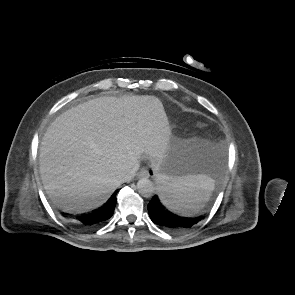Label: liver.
<instances>
[{
	"instance_id": "obj_1",
	"label": "liver",
	"mask_w": 295,
	"mask_h": 295,
	"mask_svg": "<svg viewBox=\"0 0 295 295\" xmlns=\"http://www.w3.org/2000/svg\"><path fill=\"white\" fill-rule=\"evenodd\" d=\"M172 146L163 104L155 96L100 97L70 108L45 132L40 175L61 209L99 207L142 156L156 168Z\"/></svg>"
}]
</instances>
